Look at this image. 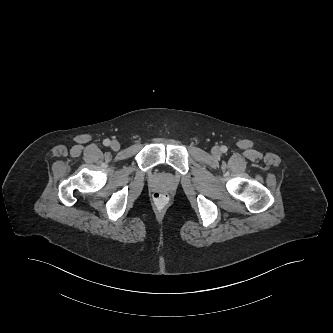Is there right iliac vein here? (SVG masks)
Listing matches in <instances>:
<instances>
[{"label": "right iliac vein", "mask_w": 333, "mask_h": 333, "mask_svg": "<svg viewBox=\"0 0 333 333\" xmlns=\"http://www.w3.org/2000/svg\"><path fill=\"white\" fill-rule=\"evenodd\" d=\"M110 146H111V149L114 151H118L120 149V143L116 140L112 141Z\"/></svg>", "instance_id": "1"}]
</instances>
